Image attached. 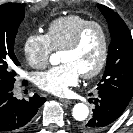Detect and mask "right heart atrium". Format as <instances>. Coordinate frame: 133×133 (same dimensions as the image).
I'll return each instance as SVG.
<instances>
[{
	"instance_id": "obj_1",
	"label": "right heart atrium",
	"mask_w": 133,
	"mask_h": 133,
	"mask_svg": "<svg viewBox=\"0 0 133 133\" xmlns=\"http://www.w3.org/2000/svg\"><path fill=\"white\" fill-rule=\"evenodd\" d=\"M53 50L47 35L43 33L29 35L23 45L27 62L36 69L47 66Z\"/></svg>"
}]
</instances>
